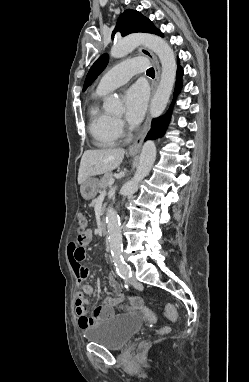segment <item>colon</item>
Returning a JSON list of instances; mask_svg holds the SVG:
<instances>
[{"label": "colon", "instance_id": "1", "mask_svg": "<svg viewBox=\"0 0 249 382\" xmlns=\"http://www.w3.org/2000/svg\"><path fill=\"white\" fill-rule=\"evenodd\" d=\"M78 223H79V230H78V241H83L85 233L87 231V225H88V219L84 214H79L78 216ZM89 274L88 268L81 262L80 266H76V275L80 278H87ZM121 298L120 295H117L116 298L111 299L108 298L106 299V304L107 305H112L119 301ZM136 310L143 315V317L149 321V322H155L156 318L155 315L152 311H150L148 308L144 306H135ZM166 318L170 321H175L177 319V314H176V309L174 305L168 304L166 306V311H165ZM169 331L168 327H163L160 332L161 333H166Z\"/></svg>", "mask_w": 249, "mask_h": 382}]
</instances>
